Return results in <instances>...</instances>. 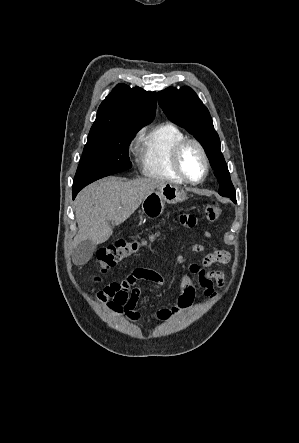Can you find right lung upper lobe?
I'll list each match as a JSON object with an SVG mask.
<instances>
[{
  "mask_svg": "<svg viewBox=\"0 0 299 443\" xmlns=\"http://www.w3.org/2000/svg\"><path fill=\"white\" fill-rule=\"evenodd\" d=\"M156 93L118 84L99 106L89 135L147 125L155 117Z\"/></svg>",
  "mask_w": 299,
  "mask_h": 443,
  "instance_id": "obj_1",
  "label": "right lung upper lobe"
}]
</instances>
